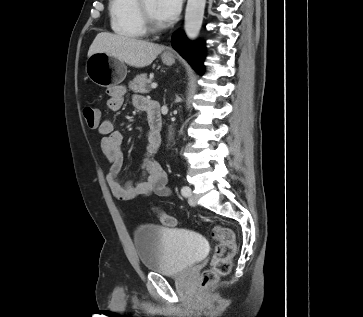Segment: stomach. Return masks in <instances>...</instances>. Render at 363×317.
Instances as JSON below:
<instances>
[{
  "mask_svg": "<svg viewBox=\"0 0 363 317\" xmlns=\"http://www.w3.org/2000/svg\"><path fill=\"white\" fill-rule=\"evenodd\" d=\"M165 65L171 66L173 56L162 55ZM85 71L89 79L98 86L110 87L120 84L126 77L127 67L123 61L107 54L94 53L86 61Z\"/></svg>",
  "mask_w": 363,
  "mask_h": 317,
  "instance_id": "stomach-1",
  "label": "stomach"
}]
</instances>
